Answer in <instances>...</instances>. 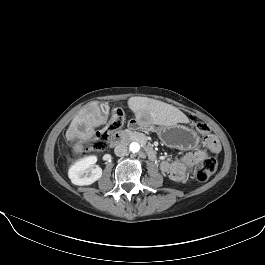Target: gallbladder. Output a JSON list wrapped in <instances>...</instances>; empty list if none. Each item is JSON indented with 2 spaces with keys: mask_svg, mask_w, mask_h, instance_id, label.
Listing matches in <instances>:
<instances>
[{
  "mask_svg": "<svg viewBox=\"0 0 265 265\" xmlns=\"http://www.w3.org/2000/svg\"><path fill=\"white\" fill-rule=\"evenodd\" d=\"M101 108L103 109V111H104L105 113H108V112H109V109H110L108 103H102V104H101Z\"/></svg>",
  "mask_w": 265,
  "mask_h": 265,
  "instance_id": "obj_1",
  "label": "gallbladder"
}]
</instances>
